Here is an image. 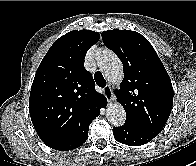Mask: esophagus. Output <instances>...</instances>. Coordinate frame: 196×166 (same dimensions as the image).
<instances>
[{
	"mask_svg": "<svg viewBox=\"0 0 196 166\" xmlns=\"http://www.w3.org/2000/svg\"><path fill=\"white\" fill-rule=\"evenodd\" d=\"M104 93L108 98V100L111 101L113 97V93H112V88L109 84L104 87Z\"/></svg>",
	"mask_w": 196,
	"mask_h": 166,
	"instance_id": "obj_1",
	"label": "esophagus"
}]
</instances>
